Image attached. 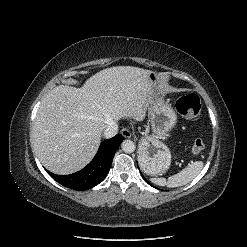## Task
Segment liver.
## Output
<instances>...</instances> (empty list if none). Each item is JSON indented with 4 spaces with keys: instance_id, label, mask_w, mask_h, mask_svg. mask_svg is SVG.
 I'll return each instance as SVG.
<instances>
[{
    "instance_id": "obj_1",
    "label": "liver",
    "mask_w": 247,
    "mask_h": 247,
    "mask_svg": "<svg viewBox=\"0 0 247 247\" xmlns=\"http://www.w3.org/2000/svg\"><path fill=\"white\" fill-rule=\"evenodd\" d=\"M150 71L110 67L81 88L59 85L40 103L33 127L34 147L43 166L66 175L86 166L100 144L101 132L122 117L142 120L157 86Z\"/></svg>"
}]
</instances>
